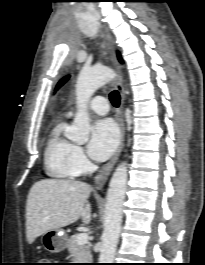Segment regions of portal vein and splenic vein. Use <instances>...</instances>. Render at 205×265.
<instances>
[{
    "label": "portal vein and splenic vein",
    "instance_id": "18ae733b",
    "mask_svg": "<svg viewBox=\"0 0 205 265\" xmlns=\"http://www.w3.org/2000/svg\"><path fill=\"white\" fill-rule=\"evenodd\" d=\"M88 241V234L87 233H80L77 235V243L79 245H83Z\"/></svg>",
    "mask_w": 205,
    "mask_h": 265
}]
</instances>
